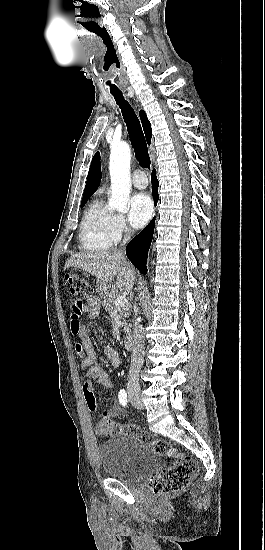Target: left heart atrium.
<instances>
[{
	"instance_id": "left-heart-atrium-1",
	"label": "left heart atrium",
	"mask_w": 265,
	"mask_h": 550,
	"mask_svg": "<svg viewBox=\"0 0 265 550\" xmlns=\"http://www.w3.org/2000/svg\"><path fill=\"white\" fill-rule=\"evenodd\" d=\"M153 204L146 193H137L130 200L128 219L134 228H141L147 224L152 216Z\"/></svg>"
}]
</instances>
